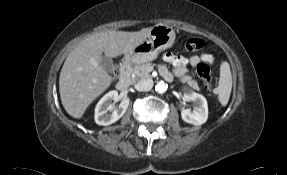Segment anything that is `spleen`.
<instances>
[{"instance_id":"3e777b00","label":"spleen","mask_w":287,"mask_h":175,"mask_svg":"<svg viewBox=\"0 0 287 175\" xmlns=\"http://www.w3.org/2000/svg\"><path fill=\"white\" fill-rule=\"evenodd\" d=\"M232 90V75L229 63L223 61L220 66V78L219 85L216 88V94L218 95V101L222 106H226Z\"/></svg>"}]
</instances>
